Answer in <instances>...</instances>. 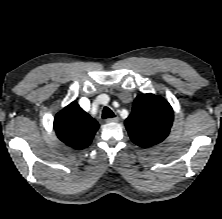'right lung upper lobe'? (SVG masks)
I'll list each match as a JSON object with an SVG mask.
<instances>
[{
	"instance_id": "cb5924a9",
	"label": "right lung upper lobe",
	"mask_w": 222,
	"mask_h": 219,
	"mask_svg": "<svg viewBox=\"0 0 222 219\" xmlns=\"http://www.w3.org/2000/svg\"><path fill=\"white\" fill-rule=\"evenodd\" d=\"M98 128V122L75 101L58 112L54 119V129L58 138L77 150L90 145Z\"/></svg>"
}]
</instances>
